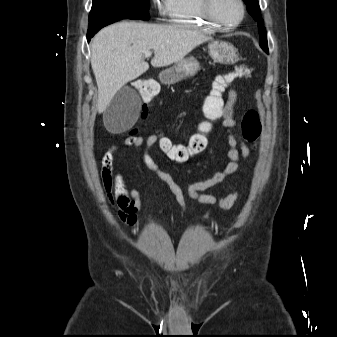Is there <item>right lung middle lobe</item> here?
Wrapping results in <instances>:
<instances>
[{
    "label": "right lung middle lobe",
    "mask_w": 337,
    "mask_h": 337,
    "mask_svg": "<svg viewBox=\"0 0 337 337\" xmlns=\"http://www.w3.org/2000/svg\"><path fill=\"white\" fill-rule=\"evenodd\" d=\"M150 0H93L89 25L109 19H149Z\"/></svg>",
    "instance_id": "right-lung-middle-lobe-1"
}]
</instances>
